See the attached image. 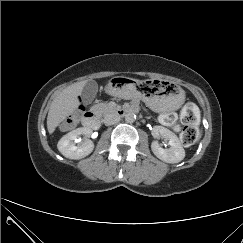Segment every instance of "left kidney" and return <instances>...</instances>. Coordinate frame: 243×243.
<instances>
[{
	"label": "left kidney",
	"instance_id": "5707ae66",
	"mask_svg": "<svg viewBox=\"0 0 243 243\" xmlns=\"http://www.w3.org/2000/svg\"><path fill=\"white\" fill-rule=\"evenodd\" d=\"M154 137H163L168 140L170 148H162L157 141H153L151 149L154 155L166 163H178L185 157V150L178 137L163 126H154L152 130Z\"/></svg>",
	"mask_w": 243,
	"mask_h": 243
}]
</instances>
